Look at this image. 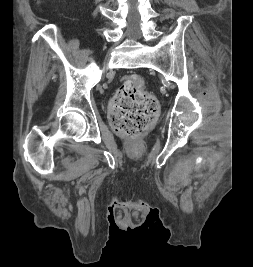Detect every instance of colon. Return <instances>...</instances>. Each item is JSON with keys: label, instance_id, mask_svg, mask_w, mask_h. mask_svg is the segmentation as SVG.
I'll list each match as a JSON object with an SVG mask.
<instances>
[{"label": "colon", "instance_id": "5ec220e1", "mask_svg": "<svg viewBox=\"0 0 253 267\" xmlns=\"http://www.w3.org/2000/svg\"><path fill=\"white\" fill-rule=\"evenodd\" d=\"M157 99L143 88L139 75L123 78L110 103V122L119 134L135 140L151 125L158 113Z\"/></svg>", "mask_w": 253, "mask_h": 267}]
</instances>
